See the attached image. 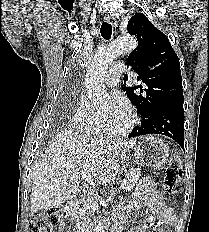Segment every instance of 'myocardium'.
<instances>
[{
    "mask_svg": "<svg viewBox=\"0 0 209 232\" xmlns=\"http://www.w3.org/2000/svg\"><path fill=\"white\" fill-rule=\"evenodd\" d=\"M128 123L126 125H124L123 127L120 128H112L110 126H108L106 128L107 132L112 135V136H125L127 134H129L132 129L134 128V126L136 125L138 119L135 113H133L132 111H130L128 113Z\"/></svg>",
    "mask_w": 209,
    "mask_h": 232,
    "instance_id": "f54148a6",
    "label": "myocardium"
}]
</instances>
